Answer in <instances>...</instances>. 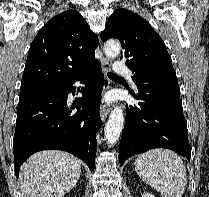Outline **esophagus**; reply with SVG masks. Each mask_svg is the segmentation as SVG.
<instances>
[{
    "instance_id": "obj_1",
    "label": "esophagus",
    "mask_w": 209,
    "mask_h": 197,
    "mask_svg": "<svg viewBox=\"0 0 209 197\" xmlns=\"http://www.w3.org/2000/svg\"><path fill=\"white\" fill-rule=\"evenodd\" d=\"M101 66H102L103 72L105 74L104 91H106L112 87L111 80L106 76L107 72H109L111 70V62L109 61V59L104 57L101 60ZM109 112H110V106L107 103H105L104 100H102V103L100 106V116L103 121L105 120V118L107 117Z\"/></svg>"
}]
</instances>
